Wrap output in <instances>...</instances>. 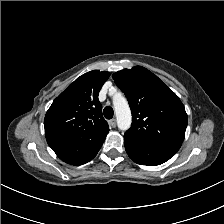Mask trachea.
<instances>
[{"label":"trachea","mask_w":224,"mask_h":224,"mask_svg":"<svg viewBox=\"0 0 224 224\" xmlns=\"http://www.w3.org/2000/svg\"><path fill=\"white\" fill-rule=\"evenodd\" d=\"M103 113L106 119H111L114 115V111L110 106H106L103 110Z\"/></svg>","instance_id":"trachea-1"}]
</instances>
